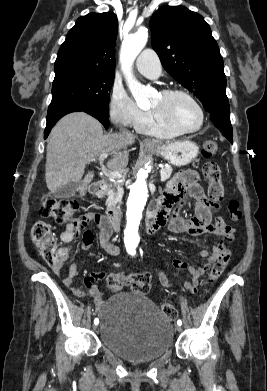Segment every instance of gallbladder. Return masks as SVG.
I'll use <instances>...</instances> for the list:
<instances>
[{
    "label": "gallbladder",
    "instance_id": "1",
    "mask_svg": "<svg viewBox=\"0 0 267 391\" xmlns=\"http://www.w3.org/2000/svg\"><path fill=\"white\" fill-rule=\"evenodd\" d=\"M82 186V181L79 182H68L65 186H62L59 188L55 193L54 196L56 198H70L75 195L77 191H79L80 187Z\"/></svg>",
    "mask_w": 267,
    "mask_h": 391
}]
</instances>
